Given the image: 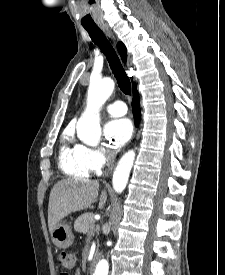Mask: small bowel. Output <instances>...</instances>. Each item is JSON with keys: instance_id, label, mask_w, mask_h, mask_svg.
Masks as SVG:
<instances>
[{"instance_id": "1", "label": "small bowel", "mask_w": 225, "mask_h": 275, "mask_svg": "<svg viewBox=\"0 0 225 275\" xmlns=\"http://www.w3.org/2000/svg\"><path fill=\"white\" fill-rule=\"evenodd\" d=\"M65 275H80V273H79V271H75V272H73V273H71V274H67V273H64Z\"/></svg>"}]
</instances>
